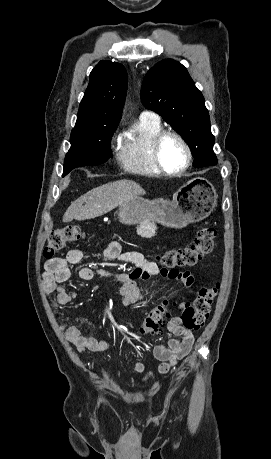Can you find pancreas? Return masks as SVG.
Returning <instances> with one entry per match:
<instances>
[{
  "mask_svg": "<svg viewBox=\"0 0 271 459\" xmlns=\"http://www.w3.org/2000/svg\"><path fill=\"white\" fill-rule=\"evenodd\" d=\"M155 229V224H151V222H146V224H142L141 228H138V231H141L142 237H153Z\"/></svg>",
  "mask_w": 271,
  "mask_h": 459,
  "instance_id": "pancreas-1",
  "label": "pancreas"
}]
</instances>
